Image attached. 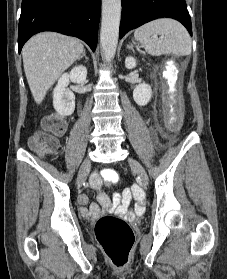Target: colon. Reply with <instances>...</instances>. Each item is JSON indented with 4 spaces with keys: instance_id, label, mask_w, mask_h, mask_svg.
<instances>
[{
    "instance_id": "colon-1",
    "label": "colon",
    "mask_w": 227,
    "mask_h": 279,
    "mask_svg": "<svg viewBox=\"0 0 227 279\" xmlns=\"http://www.w3.org/2000/svg\"><path fill=\"white\" fill-rule=\"evenodd\" d=\"M43 125L46 131L31 137L29 144L40 155H48L58 149L56 135L64 131L65 123L55 116H50L43 120ZM103 179L109 183H117L119 174L110 170L103 173ZM95 236L103 251L116 266H125L128 263L134 234L125 220L111 215L101 216L95 225Z\"/></svg>"
}]
</instances>
